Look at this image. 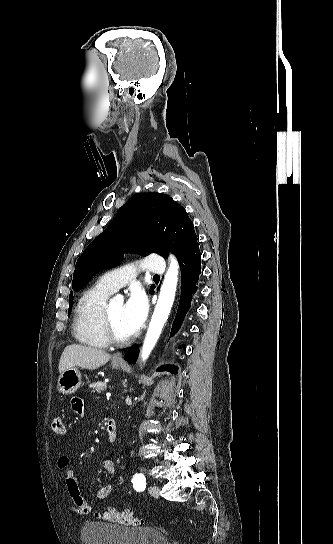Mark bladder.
Returning a JSON list of instances; mask_svg holds the SVG:
<instances>
[{"label": "bladder", "mask_w": 333, "mask_h": 544, "mask_svg": "<svg viewBox=\"0 0 333 544\" xmlns=\"http://www.w3.org/2000/svg\"><path fill=\"white\" fill-rule=\"evenodd\" d=\"M83 544H170L161 531L151 527H125L89 521L81 530Z\"/></svg>", "instance_id": "31cf9c89"}]
</instances>
